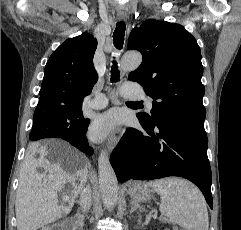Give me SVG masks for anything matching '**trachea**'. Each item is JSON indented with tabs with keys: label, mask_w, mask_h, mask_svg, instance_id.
<instances>
[{
	"label": "trachea",
	"mask_w": 241,
	"mask_h": 230,
	"mask_svg": "<svg viewBox=\"0 0 241 230\" xmlns=\"http://www.w3.org/2000/svg\"><path fill=\"white\" fill-rule=\"evenodd\" d=\"M125 23L118 22L113 33V43L117 49H122L124 43V36H125ZM119 80V71L117 69V62L113 61V66L111 70V81L117 82Z\"/></svg>",
	"instance_id": "3493384b"
}]
</instances>
